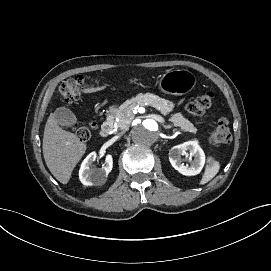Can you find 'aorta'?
<instances>
[{
  "label": "aorta",
  "instance_id": "obj_1",
  "mask_svg": "<svg viewBox=\"0 0 271 271\" xmlns=\"http://www.w3.org/2000/svg\"><path fill=\"white\" fill-rule=\"evenodd\" d=\"M160 127L153 119H145L136 123L131 130L132 141L140 146H151L159 138Z\"/></svg>",
  "mask_w": 271,
  "mask_h": 271
}]
</instances>
